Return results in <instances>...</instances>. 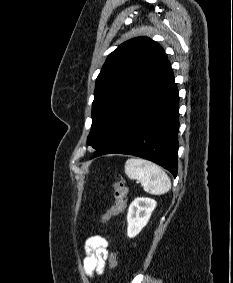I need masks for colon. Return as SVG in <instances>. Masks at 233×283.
I'll list each match as a JSON object with an SVG mask.
<instances>
[{
	"label": "colon",
	"mask_w": 233,
	"mask_h": 283,
	"mask_svg": "<svg viewBox=\"0 0 233 283\" xmlns=\"http://www.w3.org/2000/svg\"><path fill=\"white\" fill-rule=\"evenodd\" d=\"M112 190L114 193L115 203L111 208L103 215L102 223H106L112 217L120 214L127 203L128 190L123 181H116L112 184ZM109 265L112 269H116L118 266V260L115 253L111 252L108 256Z\"/></svg>",
	"instance_id": "1"
}]
</instances>
